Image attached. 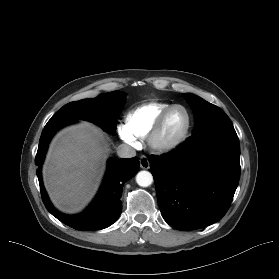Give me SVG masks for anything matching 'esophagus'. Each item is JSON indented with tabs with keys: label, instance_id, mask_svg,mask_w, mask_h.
<instances>
[{
	"label": "esophagus",
	"instance_id": "34e87169",
	"mask_svg": "<svg viewBox=\"0 0 279 279\" xmlns=\"http://www.w3.org/2000/svg\"><path fill=\"white\" fill-rule=\"evenodd\" d=\"M139 162H140V167L143 169H148L150 167L149 160L146 156H141Z\"/></svg>",
	"mask_w": 279,
	"mask_h": 279
}]
</instances>
